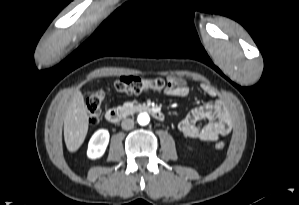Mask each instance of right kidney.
<instances>
[{
  "instance_id": "1",
  "label": "right kidney",
  "mask_w": 299,
  "mask_h": 205,
  "mask_svg": "<svg viewBox=\"0 0 299 205\" xmlns=\"http://www.w3.org/2000/svg\"><path fill=\"white\" fill-rule=\"evenodd\" d=\"M109 143V132L106 129L97 130L88 143L87 156L90 159H97L103 156Z\"/></svg>"
}]
</instances>
